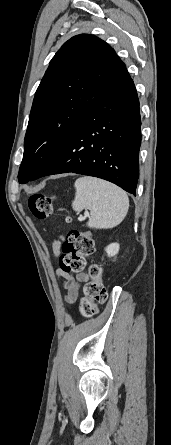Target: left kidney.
<instances>
[{"label":"left kidney","instance_id":"obj_1","mask_svg":"<svg viewBox=\"0 0 171 445\" xmlns=\"http://www.w3.org/2000/svg\"><path fill=\"white\" fill-rule=\"evenodd\" d=\"M119 251V244L118 243H111L106 247V253L108 257L115 256Z\"/></svg>","mask_w":171,"mask_h":445}]
</instances>
